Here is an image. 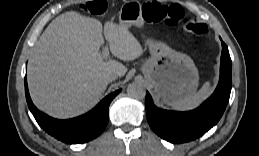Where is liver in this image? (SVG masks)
Masks as SVG:
<instances>
[{
  "label": "liver",
  "mask_w": 259,
  "mask_h": 156,
  "mask_svg": "<svg viewBox=\"0 0 259 156\" xmlns=\"http://www.w3.org/2000/svg\"><path fill=\"white\" fill-rule=\"evenodd\" d=\"M101 23L79 12L56 17L37 41L28 66V87L34 104L48 115L67 119L81 115L100 100L108 74L123 76L127 68L115 60L103 61ZM104 35L111 53L131 61L143 54L128 27L110 22Z\"/></svg>",
  "instance_id": "liver-1"
}]
</instances>
